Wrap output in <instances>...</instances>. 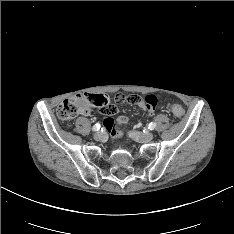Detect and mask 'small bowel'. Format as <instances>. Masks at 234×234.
<instances>
[{
	"label": "small bowel",
	"instance_id": "obj_1",
	"mask_svg": "<svg viewBox=\"0 0 234 234\" xmlns=\"http://www.w3.org/2000/svg\"><path fill=\"white\" fill-rule=\"evenodd\" d=\"M89 109L94 114H100L104 117L103 122L105 127L111 133V135H117L118 129L128 122V117L122 115L116 120L114 116L119 115V109L116 108L115 104L111 103V98L105 94L100 93L98 95L92 94L87 99ZM114 102L117 104H133L136 107H141L143 110L152 114L156 107L163 104L164 99L159 94H147L139 95L129 93L127 95L118 94L114 97Z\"/></svg>",
	"mask_w": 234,
	"mask_h": 234
}]
</instances>
